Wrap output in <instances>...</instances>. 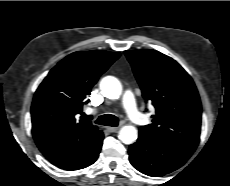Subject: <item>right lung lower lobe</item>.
Masks as SVG:
<instances>
[{
	"label": "right lung lower lobe",
	"instance_id": "obj_1",
	"mask_svg": "<svg viewBox=\"0 0 230 186\" xmlns=\"http://www.w3.org/2000/svg\"><path fill=\"white\" fill-rule=\"evenodd\" d=\"M102 142H103V135L97 142L93 144V146L84 155H82V157L79 160L64 167L63 169L70 170V171L78 170L93 164L98 158V155L102 147Z\"/></svg>",
	"mask_w": 230,
	"mask_h": 186
}]
</instances>
